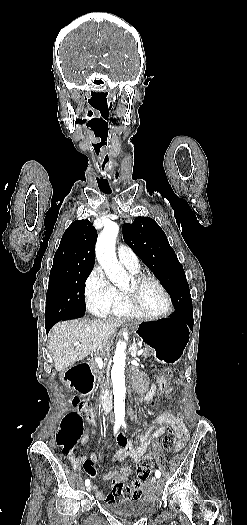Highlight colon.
<instances>
[{
    "label": "colon",
    "instance_id": "colon-1",
    "mask_svg": "<svg viewBox=\"0 0 247 525\" xmlns=\"http://www.w3.org/2000/svg\"><path fill=\"white\" fill-rule=\"evenodd\" d=\"M172 373L169 370L164 371L163 374H159L155 378V386L159 389L156 392L155 403L146 409L148 414H151L153 410L158 408V405L162 403L160 398L165 397L168 391L166 385L171 378ZM73 405L75 411L67 414L61 424L60 430L56 435V442L61 448L63 455H71L73 453L75 445L81 439L85 432V426H91L94 421L90 419V409L86 402L79 397L73 398ZM177 441L175 431L171 428L165 434L160 442V451H170ZM160 453L148 454L142 461L139 462L137 467V481L144 482L152 472L154 463L160 460Z\"/></svg>",
    "mask_w": 247,
    "mask_h": 525
}]
</instances>
